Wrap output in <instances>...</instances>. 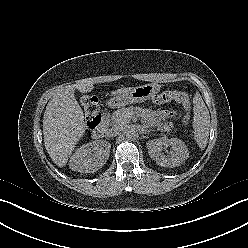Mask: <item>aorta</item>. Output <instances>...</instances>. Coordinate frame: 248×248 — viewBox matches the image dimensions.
I'll use <instances>...</instances> for the list:
<instances>
[{
	"instance_id": "aorta-1",
	"label": "aorta",
	"mask_w": 248,
	"mask_h": 248,
	"mask_svg": "<svg viewBox=\"0 0 248 248\" xmlns=\"http://www.w3.org/2000/svg\"><path fill=\"white\" fill-rule=\"evenodd\" d=\"M126 137L129 140H135L138 138V132L134 128H131L126 132Z\"/></svg>"
}]
</instances>
